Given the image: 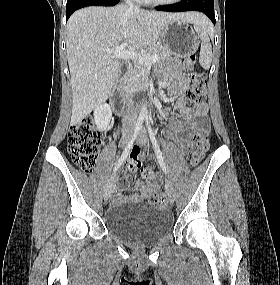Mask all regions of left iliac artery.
Wrapping results in <instances>:
<instances>
[{"mask_svg":"<svg viewBox=\"0 0 280 285\" xmlns=\"http://www.w3.org/2000/svg\"><path fill=\"white\" fill-rule=\"evenodd\" d=\"M146 125H147V128H148V133H149L150 139L152 141V144H153V147H154V150H155L156 157H157V160L159 162V165L162 168L163 172L165 174H167V168H166L163 156H162V152L160 150V147H159V144L157 142L156 136H155V134H154V132H153L151 126H150V123L148 122V119H146Z\"/></svg>","mask_w":280,"mask_h":285,"instance_id":"44dca946","label":"left iliac artery"}]
</instances>
